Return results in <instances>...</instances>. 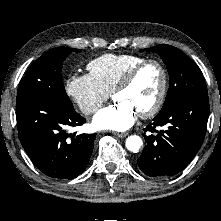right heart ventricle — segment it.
<instances>
[{
    "instance_id": "e07e8e85",
    "label": "right heart ventricle",
    "mask_w": 221,
    "mask_h": 221,
    "mask_svg": "<svg viewBox=\"0 0 221 221\" xmlns=\"http://www.w3.org/2000/svg\"><path fill=\"white\" fill-rule=\"evenodd\" d=\"M145 60L133 54H105L92 60L87 68L91 76L111 93L128 71Z\"/></svg>"
}]
</instances>
